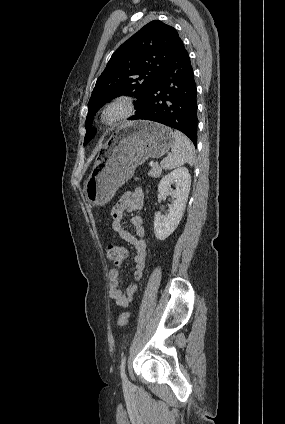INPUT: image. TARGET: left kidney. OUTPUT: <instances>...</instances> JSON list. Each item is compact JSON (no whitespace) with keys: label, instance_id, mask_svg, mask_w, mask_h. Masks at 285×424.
I'll return each instance as SVG.
<instances>
[{"label":"left kidney","instance_id":"1","mask_svg":"<svg viewBox=\"0 0 285 424\" xmlns=\"http://www.w3.org/2000/svg\"><path fill=\"white\" fill-rule=\"evenodd\" d=\"M171 184H175V190L170 188ZM190 186L191 176L186 167H179L171 171L159 182V195L163 196L169 193L174 198V201L168 209V214L163 216L158 212L155 213L154 234L158 240H165L177 228L184 214Z\"/></svg>","mask_w":285,"mask_h":424}]
</instances>
